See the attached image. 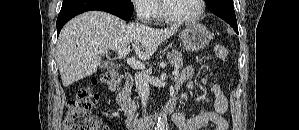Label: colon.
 I'll return each instance as SVG.
<instances>
[{
    "mask_svg": "<svg viewBox=\"0 0 299 130\" xmlns=\"http://www.w3.org/2000/svg\"><path fill=\"white\" fill-rule=\"evenodd\" d=\"M216 56L221 60L228 57V49L222 45H216ZM123 81V76L117 71H108L99 77L93 78L91 85L81 88L76 97L67 104L68 111L63 123V130H107L91 110L98 101V95L94 92L93 86L101 82L111 89H117Z\"/></svg>",
    "mask_w": 299,
    "mask_h": 130,
    "instance_id": "obj_1",
    "label": "colon"
}]
</instances>
